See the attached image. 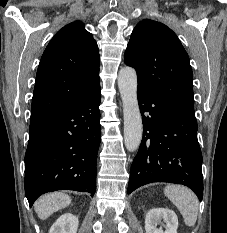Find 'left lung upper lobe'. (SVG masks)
<instances>
[{
	"mask_svg": "<svg viewBox=\"0 0 227 233\" xmlns=\"http://www.w3.org/2000/svg\"><path fill=\"white\" fill-rule=\"evenodd\" d=\"M124 61L135 68L138 89L194 112L189 57L169 27L149 19L138 23Z\"/></svg>",
	"mask_w": 227,
	"mask_h": 233,
	"instance_id": "5c2ea615",
	"label": "left lung upper lobe"
}]
</instances>
